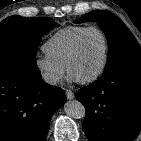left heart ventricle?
I'll use <instances>...</instances> for the list:
<instances>
[{
	"instance_id": "1",
	"label": "left heart ventricle",
	"mask_w": 141,
	"mask_h": 141,
	"mask_svg": "<svg viewBox=\"0 0 141 141\" xmlns=\"http://www.w3.org/2000/svg\"><path fill=\"white\" fill-rule=\"evenodd\" d=\"M104 57V41L102 36L89 32L83 39L80 51L73 61L70 72L77 79L92 76L101 66Z\"/></svg>"
}]
</instances>
